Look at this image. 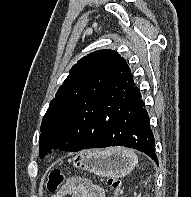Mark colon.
I'll use <instances>...</instances> for the list:
<instances>
[{
    "instance_id": "colon-1",
    "label": "colon",
    "mask_w": 191,
    "mask_h": 197,
    "mask_svg": "<svg viewBox=\"0 0 191 197\" xmlns=\"http://www.w3.org/2000/svg\"><path fill=\"white\" fill-rule=\"evenodd\" d=\"M64 181V173L59 169L52 170L48 175L47 189L50 192H57ZM107 183L110 187L119 190L120 181L117 178L109 177Z\"/></svg>"
}]
</instances>
